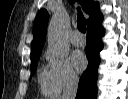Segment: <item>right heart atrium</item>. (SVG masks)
<instances>
[{
	"instance_id": "obj_1",
	"label": "right heart atrium",
	"mask_w": 128,
	"mask_h": 99,
	"mask_svg": "<svg viewBox=\"0 0 128 99\" xmlns=\"http://www.w3.org/2000/svg\"><path fill=\"white\" fill-rule=\"evenodd\" d=\"M45 56L49 62V72L58 93L77 85L79 78L69 59L58 57L51 51H47Z\"/></svg>"
}]
</instances>
